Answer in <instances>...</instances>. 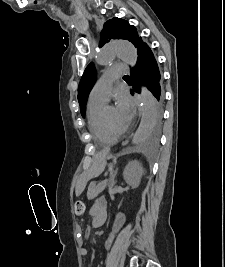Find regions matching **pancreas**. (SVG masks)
I'll return each mask as SVG.
<instances>
[{
  "mask_svg": "<svg viewBox=\"0 0 225 267\" xmlns=\"http://www.w3.org/2000/svg\"><path fill=\"white\" fill-rule=\"evenodd\" d=\"M106 187V184H98V185H94V183H91L88 187V191H87V198L89 200L94 199L95 197L98 196V194H100Z\"/></svg>",
  "mask_w": 225,
  "mask_h": 267,
  "instance_id": "pancreas-1",
  "label": "pancreas"
}]
</instances>
